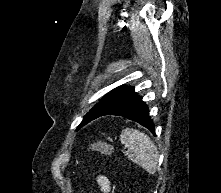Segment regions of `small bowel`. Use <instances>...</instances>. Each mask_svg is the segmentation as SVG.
<instances>
[{
    "mask_svg": "<svg viewBox=\"0 0 221 193\" xmlns=\"http://www.w3.org/2000/svg\"><path fill=\"white\" fill-rule=\"evenodd\" d=\"M96 182L100 187L102 193H110L111 192V183L107 176L99 175L96 178Z\"/></svg>",
    "mask_w": 221,
    "mask_h": 193,
    "instance_id": "c3829d8e",
    "label": "small bowel"
}]
</instances>
